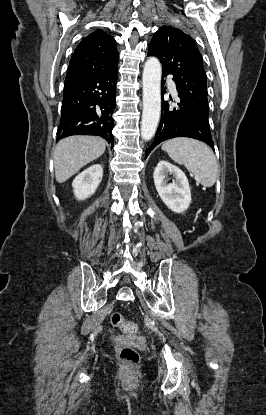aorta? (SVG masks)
<instances>
[{"mask_svg": "<svg viewBox=\"0 0 266 415\" xmlns=\"http://www.w3.org/2000/svg\"><path fill=\"white\" fill-rule=\"evenodd\" d=\"M161 64L155 57L147 59L143 70V113L141 137L149 141L155 135L161 114Z\"/></svg>", "mask_w": 266, "mask_h": 415, "instance_id": "1", "label": "aorta"}]
</instances>
